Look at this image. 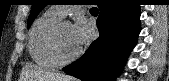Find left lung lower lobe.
<instances>
[{
  "label": "left lung lower lobe",
  "mask_w": 169,
  "mask_h": 81,
  "mask_svg": "<svg viewBox=\"0 0 169 81\" xmlns=\"http://www.w3.org/2000/svg\"><path fill=\"white\" fill-rule=\"evenodd\" d=\"M98 7L99 38L80 59L63 68L82 81H113L140 32V9L132 0H102Z\"/></svg>",
  "instance_id": "left-lung-lower-lobe-1"
}]
</instances>
